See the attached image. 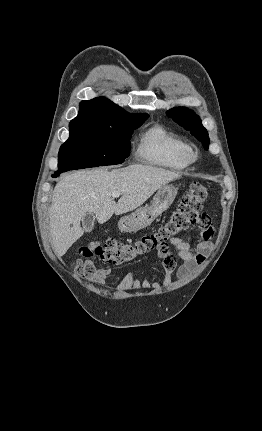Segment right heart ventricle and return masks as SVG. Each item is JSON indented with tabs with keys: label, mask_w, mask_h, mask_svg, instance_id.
I'll use <instances>...</instances> for the list:
<instances>
[{
	"label": "right heart ventricle",
	"mask_w": 262,
	"mask_h": 431,
	"mask_svg": "<svg viewBox=\"0 0 262 431\" xmlns=\"http://www.w3.org/2000/svg\"><path fill=\"white\" fill-rule=\"evenodd\" d=\"M189 144L162 125H153L141 136L137 156L144 162L171 170H183L190 164Z\"/></svg>",
	"instance_id": "right-heart-ventricle-1"
}]
</instances>
